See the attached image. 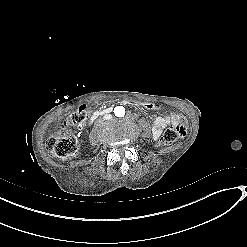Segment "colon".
Segmentation results:
<instances>
[{"label":"colon","instance_id":"obj_1","mask_svg":"<svg viewBox=\"0 0 247 247\" xmlns=\"http://www.w3.org/2000/svg\"><path fill=\"white\" fill-rule=\"evenodd\" d=\"M142 106L148 111L156 112L160 109L159 101L146 99ZM89 117V108L87 105H81L77 108L63 123V129L52 133L45 142L46 149L59 159H68L74 157L78 152L76 128L82 125ZM186 136V128L181 125H175L168 128L163 134V142L172 144L178 139Z\"/></svg>","mask_w":247,"mask_h":247}]
</instances>
